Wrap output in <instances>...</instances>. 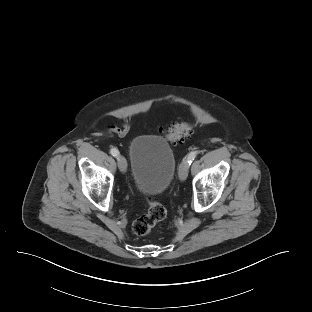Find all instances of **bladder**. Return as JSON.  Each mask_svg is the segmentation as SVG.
<instances>
[{
  "instance_id": "obj_1",
  "label": "bladder",
  "mask_w": 312,
  "mask_h": 312,
  "mask_svg": "<svg viewBox=\"0 0 312 312\" xmlns=\"http://www.w3.org/2000/svg\"><path fill=\"white\" fill-rule=\"evenodd\" d=\"M129 153L136 191L145 196L163 193L176 170L175 155L168 141L158 135H141L132 140Z\"/></svg>"
}]
</instances>
